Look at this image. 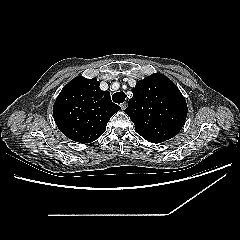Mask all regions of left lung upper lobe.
I'll return each mask as SVG.
<instances>
[{
	"mask_svg": "<svg viewBox=\"0 0 240 240\" xmlns=\"http://www.w3.org/2000/svg\"><path fill=\"white\" fill-rule=\"evenodd\" d=\"M125 113L139 135L149 142L160 143L181 130L187 104L176 85L156 73L137 82Z\"/></svg>",
	"mask_w": 240,
	"mask_h": 240,
	"instance_id": "left-lung-upper-lobe-1",
	"label": "left lung upper lobe"
}]
</instances>
